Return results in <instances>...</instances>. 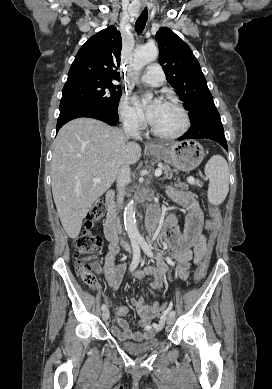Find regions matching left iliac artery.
Returning a JSON list of instances; mask_svg holds the SVG:
<instances>
[{
	"mask_svg": "<svg viewBox=\"0 0 272 389\" xmlns=\"http://www.w3.org/2000/svg\"><path fill=\"white\" fill-rule=\"evenodd\" d=\"M138 242H139V244H140L142 250H143L149 257L152 258V257H153V253H152V251H151L149 245L147 244V242H146L144 239H140ZM170 315L174 317V316H175V311H171V312H170Z\"/></svg>",
	"mask_w": 272,
	"mask_h": 389,
	"instance_id": "obj_1",
	"label": "left iliac artery"
}]
</instances>
